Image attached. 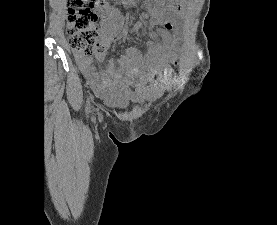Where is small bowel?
<instances>
[{
  "label": "small bowel",
  "mask_w": 277,
  "mask_h": 225,
  "mask_svg": "<svg viewBox=\"0 0 277 225\" xmlns=\"http://www.w3.org/2000/svg\"><path fill=\"white\" fill-rule=\"evenodd\" d=\"M150 16L153 25L163 27L158 28L153 34L154 40L147 43L146 61L149 70H137L145 61L144 54L137 47H131L124 55L112 58L104 65H101L104 53H99L95 57L75 56L81 72L98 95L106 96L112 88L122 85L123 73L129 69L137 70L140 74L135 91L125 92L129 99L159 98L171 88L172 79L167 71L166 62L174 49L171 31L177 26L181 13L174 6L166 4V0H159L155 6L146 9L142 14L144 20H148ZM123 24L124 18L120 13L105 8L101 15V27L107 46L121 32ZM141 27L142 24L137 23L130 32L135 34Z\"/></svg>",
  "instance_id": "1"
}]
</instances>
